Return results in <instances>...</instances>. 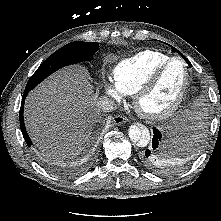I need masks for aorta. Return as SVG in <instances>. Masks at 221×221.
Listing matches in <instances>:
<instances>
[{"mask_svg":"<svg viewBox=\"0 0 221 221\" xmlns=\"http://www.w3.org/2000/svg\"><path fill=\"white\" fill-rule=\"evenodd\" d=\"M130 140L139 147H146L150 142V132L144 126L131 125L128 130Z\"/></svg>","mask_w":221,"mask_h":221,"instance_id":"1","label":"aorta"}]
</instances>
